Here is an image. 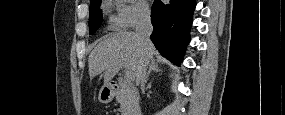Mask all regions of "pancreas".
I'll return each mask as SVG.
<instances>
[{
	"label": "pancreas",
	"mask_w": 285,
	"mask_h": 115,
	"mask_svg": "<svg viewBox=\"0 0 285 115\" xmlns=\"http://www.w3.org/2000/svg\"><path fill=\"white\" fill-rule=\"evenodd\" d=\"M122 115H131L138 103V92L130 84L123 83L116 93Z\"/></svg>",
	"instance_id": "obj_1"
}]
</instances>
